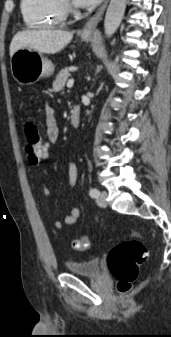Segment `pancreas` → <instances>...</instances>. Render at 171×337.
<instances>
[{"instance_id":"obj_1","label":"pancreas","mask_w":171,"mask_h":337,"mask_svg":"<svg viewBox=\"0 0 171 337\" xmlns=\"http://www.w3.org/2000/svg\"><path fill=\"white\" fill-rule=\"evenodd\" d=\"M69 75H70L69 68L62 69L59 72V74L56 76L55 81L53 82L52 91H54V92L62 91Z\"/></svg>"}]
</instances>
